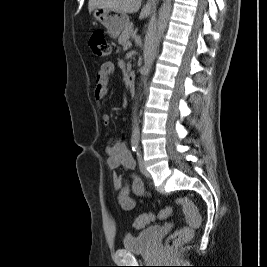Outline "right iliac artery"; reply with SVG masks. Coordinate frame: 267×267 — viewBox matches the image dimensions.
Returning <instances> with one entry per match:
<instances>
[{
	"mask_svg": "<svg viewBox=\"0 0 267 267\" xmlns=\"http://www.w3.org/2000/svg\"><path fill=\"white\" fill-rule=\"evenodd\" d=\"M131 146H132V150L136 151L137 148H138V142L137 141H132Z\"/></svg>",
	"mask_w": 267,
	"mask_h": 267,
	"instance_id": "82829eb1",
	"label": "right iliac artery"
}]
</instances>
